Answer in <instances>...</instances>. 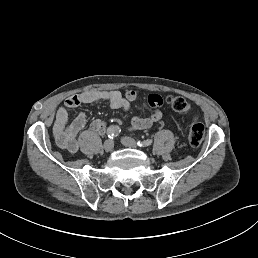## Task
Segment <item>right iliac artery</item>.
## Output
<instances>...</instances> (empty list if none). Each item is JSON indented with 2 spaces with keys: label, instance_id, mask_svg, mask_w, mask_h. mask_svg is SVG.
I'll list each match as a JSON object with an SVG mask.
<instances>
[{
  "label": "right iliac artery",
  "instance_id": "82829eb1",
  "mask_svg": "<svg viewBox=\"0 0 258 258\" xmlns=\"http://www.w3.org/2000/svg\"><path fill=\"white\" fill-rule=\"evenodd\" d=\"M121 132V129L119 126H110L107 130V137L110 139L115 138L116 136H118V134Z\"/></svg>",
  "mask_w": 258,
  "mask_h": 258
}]
</instances>
